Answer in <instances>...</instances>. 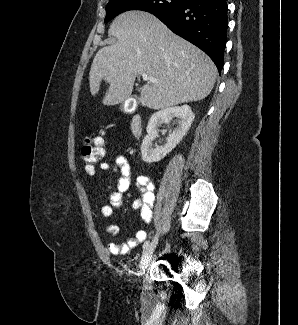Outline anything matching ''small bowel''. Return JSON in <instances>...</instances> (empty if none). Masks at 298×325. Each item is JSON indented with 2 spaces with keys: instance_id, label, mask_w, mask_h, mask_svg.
I'll list each match as a JSON object with an SVG mask.
<instances>
[{
  "instance_id": "small-bowel-1",
  "label": "small bowel",
  "mask_w": 298,
  "mask_h": 325,
  "mask_svg": "<svg viewBox=\"0 0 298 325\" xmlns=\"http://www.w3.org/2000/svg\"><path fill=\"white\" fill-rule=\"evenodd\" d=\"M100 168L109 172L111 175H120L117 180L116 186L110 191V203L104 205L101 209V214L104 217H110L114 210L119 209L122 206L123 197L129 190L131 184V174L133 172V165L128 162L126 157L120 153H116L113 156L111 163H101ZM137 187L141 193L140 198L134 200L132 208L135 211H139L142 220L145 223H150L153 216V206L155 203L154 184L149 177L140 175L136 178ZM106 232L111 236H117L119 229L115 225L106 227ZM146 239V232L140 230L135 234L129 236L126 242L117 244L111 242L107 245V250L113 255H123L129 252V250L135 248Z\"/></svg>"
}]
</instances>
